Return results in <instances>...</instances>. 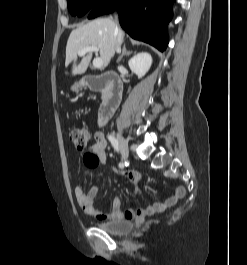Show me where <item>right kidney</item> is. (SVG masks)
<instances>
[{
  "label": "right kidney",
  "instance_id": "ca27d5eb",
  "mask_svg": "<svg viewBox=\"0 0 247 265\" xmlns=\"http://www.w3.org/2000/svg\"><path fill=\"white\" fill-rule=\"evenodd\" d=\"M152 64V57L147 52H141L133 56L129 62V68L132 72L143 77L150 69Z\"/></svg>",
  "mask_w": 247,
  "mask_h": 265
}]
</instances>
